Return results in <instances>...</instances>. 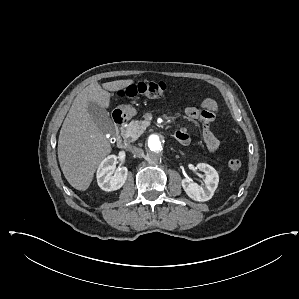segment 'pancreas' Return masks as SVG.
I'll list each match as a JSON object with an SVG mask.
<instances>
[{"mask_svg":"<svg viewBox=\"0 0 299 299\" xmlns=\"http://www.w3.org/2000/svg\"><path fill=\"white\" fill-rule=\"evenodd\" d=\"M147 127V122L142 120H132L122 131V136L128 140V142L136 141L144 132Z\"/></svg>","mask_w":299,"mask_h":299,"instance_id":"pancreas-1","label":"pancreas"}]
</instances>
